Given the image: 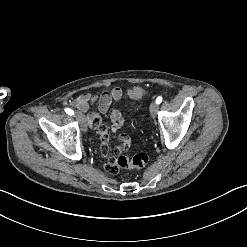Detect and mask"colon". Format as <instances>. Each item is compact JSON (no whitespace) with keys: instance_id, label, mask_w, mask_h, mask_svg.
I'll list each match as a JSON object with an SVG mask.
<instances>
[{"instance_id":"colon-1","label":"colon","mask_w":247,"mask_h":247,"mask_svg":"<svg viewBox=\"0 0 247 247\" xmlns=\"http://www.w3.org/2000/svg\"><path fill=\"white\" fill-rule=\"evenodd\" d=\"M147 90L142 86H134L129 91V95L133 99H141L146 96ZM150 156L145 152H138L134 156L123 157L120 156L117 158L116 163L120 167H124L127 171H132L134 168L141 170L143 169L149 162Z\"/></svg>"}]
</instances>
